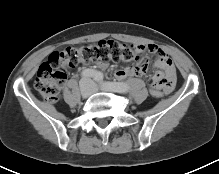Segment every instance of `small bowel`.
<instances>
[{
	"mask_svg": "<svg viewBox=\"0 0 219 174\" xmlns=\"http://www.w3.org/2000/svg\"><path fill=\"white\" fill-rule=\"evenodd\" d=\"M137 51H148L155 53L158 56L156 60V67L163 70L158 71L153 76V82L157 87H160L165 93H170L175 85L176 71L172 60L167 53L156 45H134ZM100 68H105L106 64L101 62L98 64ZM146 71V64L144 66H130L116 72L118 79H124L131 76H140Z\"/></svg>",
	"mask_w": 219,
	"mask_h": 174,
	"instance_id": "1",
	"label": "small bowel"
}]
</instances>
